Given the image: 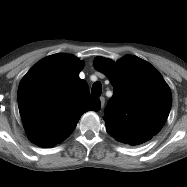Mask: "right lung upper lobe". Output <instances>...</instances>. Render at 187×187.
Masks as SVG:
<instances>
[{"label": "right lung upper lobe", "mask_w": 187, "mask_h": 187, "mask_svg": "<svg viewBox=\"0 0 187 187\" xmlns=\"http://www.w3.org/2000/svg\"><path fill=\"white\" fill-rule=\"evenodd\" d=\"M83 61L54 54L36 63L18 88L19 112L31 142L53 147L75 129L81 115L101 107L90 97L88 84L79 78Z\"/></svg>", "instance_id": "cb5924a9"}]
</instances>
